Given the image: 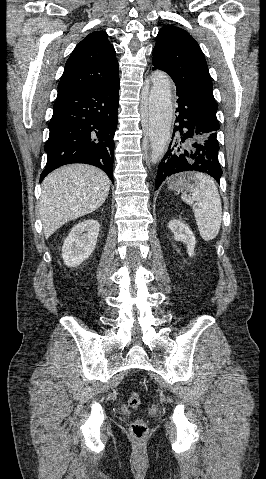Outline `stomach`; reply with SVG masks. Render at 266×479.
Returning <instances> with one entry per match:
<instances>
[{
    "instance_id": "obj_1",
    "label": "stomach",
    "mask_w": 266,
    "mask_h": 479,
    "mask_svg": "<svg viewBox=\"0 0 266 479\" xmlns=\"http://www.w3.org/2000/svg\"><path fill=\"white\" fill-rule=\"evenodd\" d=\"M198 181L193 173H185L173 177L168 182V187L176 192L188 191L191 186H196Z\"/></svg>"
}]
</instances>
